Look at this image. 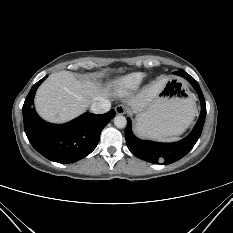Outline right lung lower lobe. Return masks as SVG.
<instances>
[{"label": "right lung lower lobe", "mask_w": 233, "mask_h": 233, "mask_svg": "<svg viewBox=\"0 0 233 233\" xmlns=\"http://www.w3.org/2000/svg\"><path fill=\"white\" fill-rule=\"evenodd\" d=\"M38 81L30 90L24 105V130L31 145L44 157L58 163L76 162L90 154L97 146L102 129L115 116L86 112L65 124H51L42 120L32 107Z\"/></svg>", "instance_id": "obj_1"}]
</instances>
